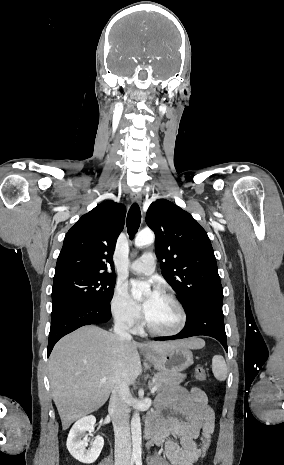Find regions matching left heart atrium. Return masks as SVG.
Here are the masks:
<instances>
[{
  "instance_id": "left-heart-atrium-1",
  "label": "left heart atrium",
  "mask_w": 284,
  "mask_h": 465,
  "mask_svg": "<svg viewBox=\"0 0 284 465\" xmlns=\"http://www.w3.org/2000/svg\"><path fill=\"white\" fill-rule=\"evenodd\" d=\"M150 285L149 282H145V281H141V280H137V281H133L131 282L130 284V287H129V298H130V301L135 304L137 306V308L145 315L149 309L151 308L152 304L154 303V301L156 300V298L158 297V292L156 290H150L148 292V294L146 295V297L140 301V302H137L136 301V294L146 285Z\"/></svg>"
}]
</instances>
